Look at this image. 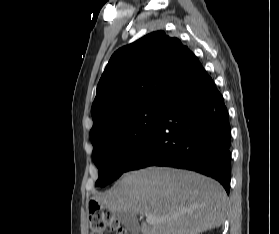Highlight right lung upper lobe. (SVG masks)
I'll list each match as a JSON object with an SVG mask.
<instances>
[{
	"label": "right lung upper lobe",
	"instance_id": "right-lung-upper-lobe-1",
	"mask_svg": "<svg viewBox=\"0 0 279 234\" xmlns=\"http://www.w3.org/2000/svg\"><path fill=\"white\" fill-rule=\"evenodd\" d=\"M202 68L188 47L164 31L152 32L118 49L97 86L91 141L125 114L164 107Z\"/></svg>",
	"mask_w": 279,
	"mask_h": 234
}]
</instances>
